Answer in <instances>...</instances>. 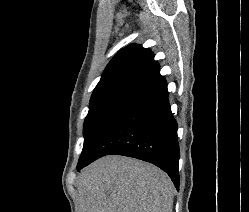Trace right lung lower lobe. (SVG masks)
<instances>
[{
    "mask_svg": "<svg viewBox=\"0 0 249 212\" xmlns=\"http://www.w3.org/2000/svg\"><path fill=\"white\" fill-rule=\"evenodd\" d=\"M109 154L134 157L158 166L178 189L177 122L168 102L167 83L133 100L107 127L77 170Z\"/></svg>",
    "mask_w": 249,
    "mask_h": 212,
    "instance_id": "obj_1",
    "label": "right lung lower lobe"
}]
</instances>
